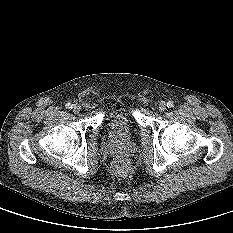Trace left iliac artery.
I'll return each instance as SVG.
<instances>
[{"mask_svg":"<svg viewBox=\"0 0 233 233\" xmlns=\"http://www.w3.org/2000/svg\"><path fill=\"white\" fill-rule=\"evenodd\" d=\"M167 107H168V108L174 107L173 101H168V102H167Z\"/></svg>","mask_w":233,"mask_h":233,"instance_id":"obj_1","label":"left iliac artery"}]
</instances>
